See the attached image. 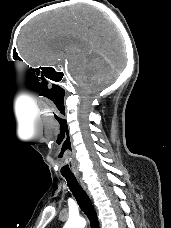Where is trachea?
<instances>
[{
  "instance_id": "1",
  "label": "trachea",
  "mask_w": 171,
  "mask_h": 228,
  "mask_svg": "<svg viewBox=\"0 0 171 228\" xmlns=\"http://www.w3.org/2000/svg\"><path fill=\"white\" fill-rule=\"evenodd\" d=\"M63 176L67 180L68 187L73 193V196L75 197L81 210L88 217L91 228H99L96 212L86 192L77 183V180L73 175H63Z\"/></svg>"
}]
</instances>
